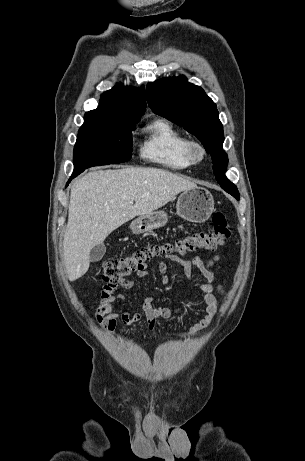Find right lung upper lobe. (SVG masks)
<instances>
[{
    "mask_svg": "<svg viewBox=\"0 0 305 461\" xmlns=\"http://www.w3.org/2000/svg\"><path fill=\"white\" fill-rule=\"evenodd\" d=\"M146 108L144 87L115 86L102 94L99 107L85 114L87 117L140 120Z\"/></svg>",
    "mask_w": 305,
    "mask_h": 461,
    "instance_id": "1",
    "label": "right lung upper lobe"
}]
</instances>
